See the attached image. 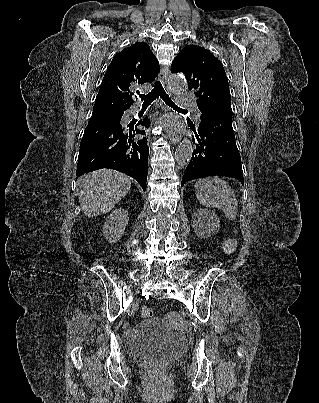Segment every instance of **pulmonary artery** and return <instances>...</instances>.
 Instances as JSON below:
<instances>
[{
	"mask_svg": "<svg viewBox=\"0 0 319 403\" xmlns=\"http://www.w3.org/2000/svg\"><path fill=\"white\" fill-rule=\"evenodd\" d=\"M180 97V101H179V106L182 108H188V107H194L195 106V102H194V98L193 96L188 93V92H182L179 94ZM139 106L135 105L133 106V108L131 109L132 113H136L139 111ZM196 120L200 121V111H196Z\"/></svg>",
	"mask_w": 319,
	"mask_h": 403,
	"instance_id": "e3ab8cb5",
	"label": "pulmonary artery"
}]
</instances>
